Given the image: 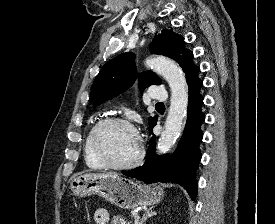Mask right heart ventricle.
Masks as SVG:
<instances>
[{
    "instance_id": "obj_1",
    "label": "right heart ventricle",
    "mask_w": 275,
    "mask_h": 224,
    "mask_svg": "<svg viewBox=\"0 0 275 224\" xmlns=\"http://www.w3.org/2000/svg\"><path fill=\"white\" fill-rule=\"evenodd\" d=\"M98 122L99 120L94 121L93 123L90 124L85 134L84 143H83V154H84L85 164L91 170H101L105 168V166L94 155L91 148V143H90L92 130Z\"/></svg>"
}]
</instances>
